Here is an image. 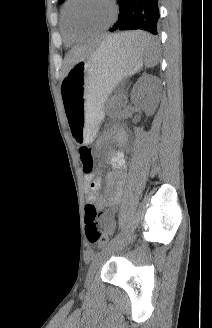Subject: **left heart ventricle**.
Instances as JSON below:
<instances>
[{"instance_id": "b2bd125f", "label": "left heart ventricle", "mask_w": 212, "mask_h": 328, "mask_svg": "<svg viewBox=\"0 0 212 328\" xmlns=\"http://www.w3.org/2000/svg\"><path fill=\"white\" fill-rule=\"evenodd\" d=\"M112 16L108 0H75L69 18L75 29L89 30L106 25Z\"/></svg>"}]
</instances>
